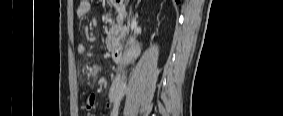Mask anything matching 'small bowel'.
<instances>
[{"instance_id":"small-bowel-1","label":"small bowel","mask_w":283,"mask_h":116,"mask_svg":"<svg viewBox=\"0 0 283 116\" xmlns=\"http://www.w3.org/2000/svg\"><path fill=\"white\" fill-rule=\"evenodd\" d=\"M91 11V5L90 2L87 0H81L79 2L78 8L76 10V14L78 17H84L86 16L89 12ZM77 52L81 55H84L87 53L86 51V47L83 43H79L77 45ZM96 103V96L94 94H91L87 97L84 108L86 110H92L95 106ZM106 109L111 111V115L115 116L117 115V109H116V104H115V100H110L107 104H106Z\"/></svg>"}]
</instances>
